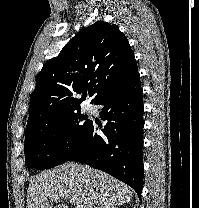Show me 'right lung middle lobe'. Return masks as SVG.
I'll return each instance as SVG.
<instances>
[{"label":"right lung middle lobe","mask_w":199,"mask_h":208,"mask_svg":"<svg viewBox=\"0 0 199 208\" xmlns=\"http://www.w3.org/2000/svg\"><path fill=\"white\" fill-rule=\"evenodd\" d=\"M77 109L25 134V164L29 168L46 169L68 160L78 147L91 123Z\"/></svg>","instance_id":"obj_1"}]
</instances>
